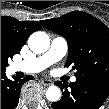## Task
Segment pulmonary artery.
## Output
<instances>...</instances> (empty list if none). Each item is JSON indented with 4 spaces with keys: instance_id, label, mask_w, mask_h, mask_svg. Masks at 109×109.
<instances>
[{
    "instance_id": "1",
    "label": "pulmonary artery",
    "mask_w": 109,
    "mask_h": 109,
    "mask_svg": "<svg viewBox=\"0 0 109 109\" xmlns=\"http://www.w3.org/2000/svg\"><path fill=\"white\" fill-rule=\"evenodd\" d=\"M68 51V45L65 38L61 36L55 37L50 48L43 54L29 60L14 63L12 66L13 72L39 73L61 60ZM76 78L72 77L71 82H75Z\"/></svg>"
}]
</instances>
